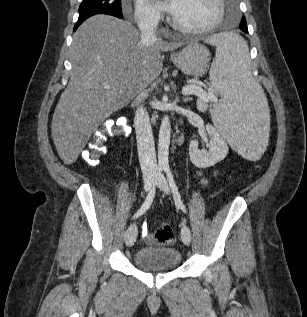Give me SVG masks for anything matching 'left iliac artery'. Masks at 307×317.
Segmentation results:
<instances>
[{
  "mask_svg": "<svg viewBox=\"0 0 307 317\" xmlns=\"http://www.w3.org/2000/svg\"><path fill=\"white\" fill-rule=\"evenodd\" d=\"M164 171L166 173L169 185L171 187L172 193H173V197L175 200V204L183 211L186 213V208L185 205L183 204V201L181 199L177 184L175 182L174 176L172 174L171 168L166 165L164 166Z\"/></svg>",
  "mask_w": 307,
  "mask_h": 317,
  "instance_id": "left-iliac-artery-1",
  "label": "left iliac artery"
}]
</instances>
